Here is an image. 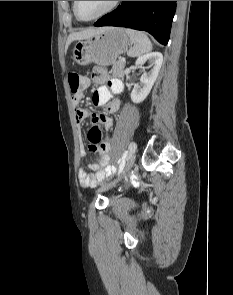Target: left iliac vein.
I'll list each match as a JSON object with an SVG mask.
<instances>
[{"label":"left iliac vein","mask_w":233,"mask_h":295,"mask_svg":"<svg viewBox=\"0 0 233 295\" xmlns=\"http://www.w3.org/2000/svg\"><path fill=\"white\" fill-rule=\"evenodd\" d=\"M136 145V144H135ZM135 159H136V156L134 153H131L128 158H127V161L125 163V166H124V169H123V172L121 175H119L115 180H113L112 182L110 183H107L105 185H103L102 187H100L98 189V192H104L108 189H110L111 187H113L119 180H121L123 178L124 175H126L130 170L131 168L133 167L134 163H135Z\"/></svg>","instance_id":"1"}]
</instances>
